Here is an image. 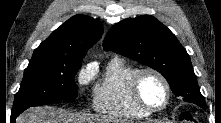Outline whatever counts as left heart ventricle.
Masks as SVG:
<instances>
[{
  "mask_svg": "<svg viewBox=\"0 0 221 123\" xmlns=\"http://www.w3.org/2000/svg\"><path fill=\"white\" fill-rule=\"evenodd\" d=\"M140 93L143 100L151 107H160L166 99V92L161 81L154 75L143 76L140 83Z\"/></svg>",
  "mask_w": 221,
  "mask_h": 123,
  "instance_id": "b2bd125f",
  "label": "left heart ventricle"
}]
</instances>
